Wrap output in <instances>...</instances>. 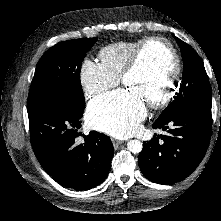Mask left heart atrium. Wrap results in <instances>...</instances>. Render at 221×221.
<instances>
[{"instance_id":"1","label":"left heart atrium","mask_w":221,"mask_h":221,"mask_svg":"<svg viewBox=\"0 0 221 221\" xmlns=\"http://www.w3.org/2000/svg\"><path fill=\"white\" fill-rule=\"evenodd\" d=\"M145 115V103L128 88L99 96L87 109L91 126L120 139L136 133Z\"/></svg>"}]
</instances>
